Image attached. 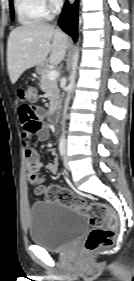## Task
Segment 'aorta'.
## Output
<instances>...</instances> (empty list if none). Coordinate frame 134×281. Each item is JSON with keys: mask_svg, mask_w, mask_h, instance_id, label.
I'll use <instances>...</instances> for the list:
<instances>
[{"mask_svg": "<svg viewBox=\"0 0 134 281\" xmlns=\"http://www.w3.org/2000/svg\"><path fill=\"white\" fill-rule=\"evenodd\" d=\"M78 59H79V49L77 47L75 49V53H74V56H73L72 72H71L70 77H69L70 82H69V85L67 87V97L65 99L64 111H63V122H62L63 125H64V121L66 119L67 109H68L69 101H70V98H71V93H72V90H73V87H74V81H75Z\"/></svg>", "mask_w": 134, "mask_h": 281, "instance_id": "762f6f07", "label": "aorta"}]
</instances>
